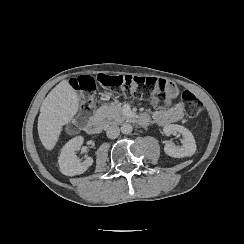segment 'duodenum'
<instances>
[{"instance_id": "duodenum-1", "label": "duodenum", "mask_w": 244, "mask_h": 244, "mask_svg": "<svg viewBox=\"0 0 244 244\" xmlns=\"http://www.w3.org/2000/svg\"><path fill=\"white\" fill-rule=\"evenodd\" d=\"M136 121L141 125H145L148 121V118L146 115L139 114L136 116ZM102 123L103 120L99 117L90 118L85 123V129L90 134H98L101 130Z\"/></svg>"}]
</instances>
